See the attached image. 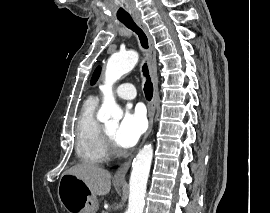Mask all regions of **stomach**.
I'll use <instances>...</instances> for the list:
<instances>
[{
  "label": "stomach",
  "instance_id": "1",
  "mask_svg": "<svg viewBox=\"0 0 270 213\" xmlns=\"http://www.w3.org/2000/svg\"><path fill=\"white\" fill-rule=\"evenodd\" d=\"M58 197L68 213H96L98 210L96 196L83 180L71 174H64L60 178Z\"/></svg>",
  "mask_w": 270,
  "mask_h": 213
}]
</instances>
